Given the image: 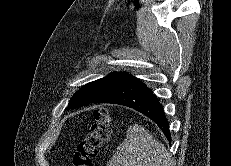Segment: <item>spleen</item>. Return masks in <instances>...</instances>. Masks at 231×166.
Instances as JSON below:
<instances>
[{
	"label": "spleen",
	"mask_w": 231,
	"mask_h": 166,
	"mask_svg": "<svg viewBox=\"0 0 231 166\" xmlns=\"http://www.w3.org/2000/svg\"><path fill=\"white\" fill-rule=\"evenodd\" d=\"M108 166H170L165 146L140 125H131Z\"/></svg>",
	"instance_id": "spleen-1"
}]
</instances>
